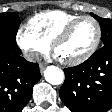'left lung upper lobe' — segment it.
<instances>
[{"label":"left lung upper lobe","mask_w":112,"mask_h":112,"mask_svg":"<svg viewBox=\"0 0 112 112\" xmlns=\"http://www.w3.org/2000/svg\"><path fill=\"white\" fill-rule=\"evenodd\" d=\"M91 15L100 23L103 45L112 44V20L101 18L93 13Z\"/></svg>","instance_id":"left-lung-upper-lobe-1"}]
</instances>
